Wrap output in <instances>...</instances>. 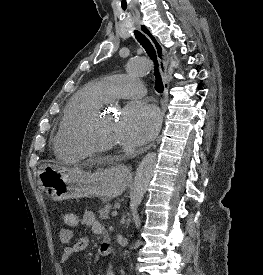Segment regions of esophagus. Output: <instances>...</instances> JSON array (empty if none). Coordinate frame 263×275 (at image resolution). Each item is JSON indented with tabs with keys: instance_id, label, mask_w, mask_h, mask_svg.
Listing matches in <instances>:
<instances>
[{
	"instance_id": "obj_1",
	"label": "esophagus",
	"mask_w": 263,
	"mask_h": 275,
	"mask_svg": "<svg viewBox=\"0 0 263 275\" xmlns=\"http://www.w3.org/2000/svg\"><path fill=\"white\" fill-rule=\"evenodd\" d=\"M138 29L150 40L152 43L158 63H159V70L161 73V77L163 80V85H164V98L161 103L162 107V120L166 112V107H167V101H168V90H169V84H170V77L168 74V65H169V59L167 55L166 49L163 47V45L160 43V41L157 39V37L151 32V30L143 23L138 25ZM155 143V140H153L147 147H145V151L150 149Z\"/></svg>"
}]
</instances>
